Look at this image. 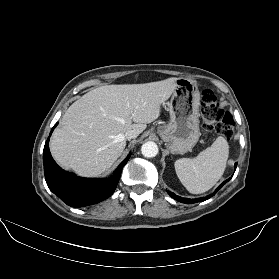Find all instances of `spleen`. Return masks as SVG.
I'll list each match as a JSON object with an SVG mask.
<instances>
[{"mask_svg": "<svg viewBox=\"0 0 279 279\" xmlns=\"http://www.w3.org/2000/svg\"><path fill=\"white\" fill-rule=\"evenodd\" d=\"M229 155V145L219 136L195 158H181L174 166L183 186L192 194L210 190L222 177Z\"/></svg>", "mask_w": 279, "mask_h": 279, "instance_id": "obj_1", "label": "spleen"}]
</instances>
